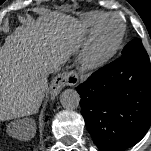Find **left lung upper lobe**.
I'll use <instances>...</instances> for the list:
<instances>
[{
  "instance_id": "1",
  "label": "left lung upper lobe",
  "mask_w": 151,
  "mask_h": 151,
  "mask_svg": "<svg viewBox=\"0 0 151 151\" xmlns=\"http://www.w3.org/2000/svg\"><path fill=\"white\" fill-rule=\"evenodd\" d=\"M145 50L140 39L135 38L130 41L122 50V57L130 55L135 52H140Z\"/></svg>"
}]
</instances>
